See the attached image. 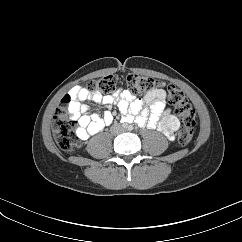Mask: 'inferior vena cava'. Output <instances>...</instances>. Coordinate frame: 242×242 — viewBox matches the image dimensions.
<instances>
[{
    "label": "inferior vena cava",
    "instance_id": "obj_1",
    "mask_svg": "<svg viewBox=\"0 0 242 242\" xmlns=\"http://www.w3.org/2000/svg\"><path fill=\"white\" fill-rule=\"evenodd\" d=\"M117 129L119 132H122V127L120 125L114 126L113 130Z\"/></svg>",
    "mask_w": 242,
    "mask_h": 242
}]
</instances>
